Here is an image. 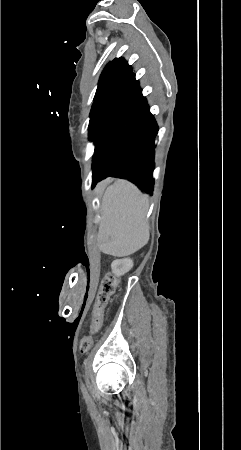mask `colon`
I'll use <instances>...</instances> for the list:
<instances>
[{
  "label": "colon",
  "mask_w": 241,
  "mask_h": 450,
  "mask_svg": "<svg viewBox=\"0 0 241 450\" xmlns=\"http://www.w3.org/2000/svg\"><path fill=\"white\" fill-rule=\"evenodd\" d=\"M117 287V278L112 273H107L102 279V285L98 294L97 301L92 307V324L91 327L96 329L98 326L103 325V316L106 313V305L109 301V298L113 294ZM93 345V339L91 336L87 335L81 341L80 353L86 354L87 351L91 349Z\"/></svg>",
  "instance_id": "obj_1"
}]
</instances>
